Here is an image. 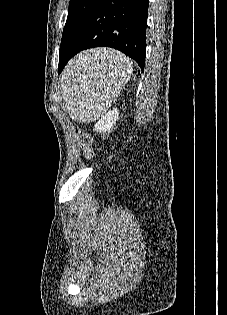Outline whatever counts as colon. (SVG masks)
Here are the masks:
<instances>
[{
	"label": "colon",
	"instance_id": "obj_1",
	"mask_svg": "<svg viewBox=\"0 0 227 315\" xmlns=\"http://www.w3.org/2000/svg\"><path fill=\"white\" fill-rule=\"evenodd\" d=\"M79 141L82 145L83 152L86 158L93 156L92 137L84 130H80L78 134Z\"/></svg>",
	"mask_w": 227,
	"mask_h": 315
}]
</instances>
